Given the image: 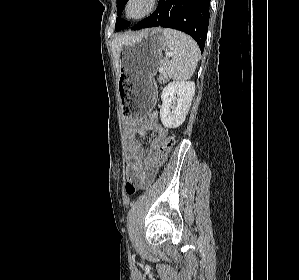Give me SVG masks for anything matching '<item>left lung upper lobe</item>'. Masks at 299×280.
Returning a JSON list of instances; mask_svg holds the SVG:
<instances>
[{"mask_svg":"<svg viewBox=\"0 0 299 280\" xmlns=\"http://www.w3.org/2000/svg\"><path fill=\"white\" fill-rule=\"evenodd\" d=\"M127 1L128 0H117L118 16H121L122 11H123ZM129 25H130V23L127 22L126 20L117 18L116 19V24H115V30L116 31L122 30V29L126 28Z\"/></svg>","mask_w":299,"mask_h":280,"instance_id":"5c2ea615","label":"left lung upper lobe"}]
</instances>
